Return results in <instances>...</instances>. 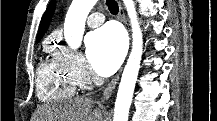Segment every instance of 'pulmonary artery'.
Returning <instances> with one entry per match:
<instances>
[{"instance_id":"obj_1","label":"pulmonary artery","mask_w":217,"mask_h":121,"mask_svg":"<svg viewBox=\"0 0 217 121\" xmlns=\"http://www.w3.org/2000/svg\"><path fill=\"white\" fill-rule=\"evenodd\" d=\"M105 18L104 15L100 12H94L89 15L87 19V24L91 28H96L100 26L104 22Z\"/></svg>"}]
</instances>
